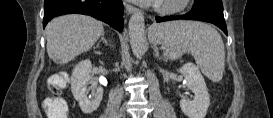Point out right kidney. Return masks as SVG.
Masks as SVG:
<instances>
[{
    "label": "right kidney",
    "mask_w": 273,
    "mask_h": 118,
    "mask_svg": "<svg viewBox=\"0 0 273 118\" xmlns=\"http://www.w3.org/2000/svg\"><path fill=\"white\" fill-rule=\"evenodd\" d=\"M92 79V64L90 60L79 62L71 75V91L84 113L97 110L103 98V88L98 87L88 96L87 84Z\"/></svg>",
    "instance_id": "right-kidney-1"
}]
</instances>
